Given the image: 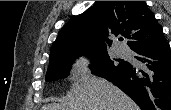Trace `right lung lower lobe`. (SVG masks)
Masks as SVG:
<instances>
[{
	"label": "right lung lower lobe",
	"mask_w": 171,
	"mask_h": 110,
	"mask_svg": "<svg viewBox=\"0 0 171 110\" xmlns=\"http://www.w3.org/2000/svg\"><path fill=\"white\" fill-rule=\"evenodd\" d=\"M142 66L130 63L105 74L142 110H171V50L164 34L133 49Z\"/></svg>",
	"instance_id": "obj_1"
}]
</instances>
